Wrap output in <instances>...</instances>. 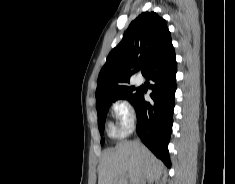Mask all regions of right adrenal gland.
<instances>
[{"label": "right adrenal gland", "mask_w": 235, "mask_h": 184, "mask_svg": "<svg viewBox=\"0 0 235 184\" xmlns=\"http://www.w3.org/2000/svg\"><path fill=\"white\" fill-rule=\"evenodd\" d=\"M148 184H154V182H148Z\"/></svg>", "instance_id": "2a0ac1e0"}]
</instances>
